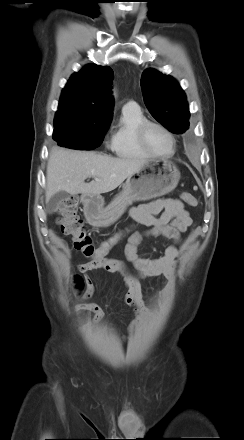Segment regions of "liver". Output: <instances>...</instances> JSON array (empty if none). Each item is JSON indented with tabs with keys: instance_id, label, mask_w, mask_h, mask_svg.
<instances>
[{
	"instance_id": "obj_1",
	"label": "liver",
	"mask_w": 244,
	"mask_h": 440,
	"mask_svg": "<svg viewBox=\"0 0 244 440\" xmlns=\"http://www.w3.org/2000/svg\"><path fill=\"white\" fill-rule=\"evenodd\" d=\"M147 161L114 158L91 151L53 148L47 163L46 202L59 191L95 196L116 189ZM93 180L85 183V179Z\"/></svg>"
}]
</instances>
